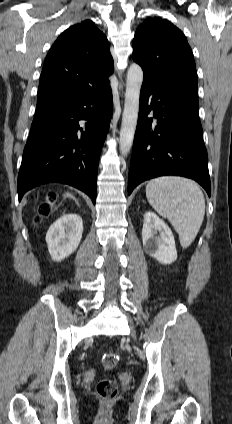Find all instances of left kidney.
I'll list each match as a JSON object with an SVG mask.
<instances>
[{
  "instance_id": "obj_1",
  "label": "left kidney",
  "mask_w": 232,
  "mask_h": 424,
  "mask_svg": "<svg viewBox=\"0 0 232 424\" xmlns=\"http://www.w3.org/2000/svg\"><path fill=\"white\" fill-rule=\"evenodd\" d=\"M142 241L145 250L158 262L170 264L176 261L177 251L172 231L154 212L148 211L144 215Z\"/></svg>"
}]
</instances>
